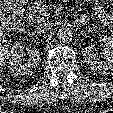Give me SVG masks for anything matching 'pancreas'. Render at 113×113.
Returning a JSON list of instances; mask_svg holds the SVG:
<instances>
[{
	"label": "pancreas",
	"mask_w": 113,
	"mask_h": 113,
	"mask_svg": "<svg viewBox=\"0 0 113 113\" xmlns=\"http://www.w3.org/2000/svg\"><path fill=\"white\" fill-rule=\"evenodd\" d=\"M28 16L33 23L38 24L46 21L49 17L46 4L40 1L35 2L29 7Z\"/></svg>",
	"instance_id": "cf45deb5"
}]
</instances>
